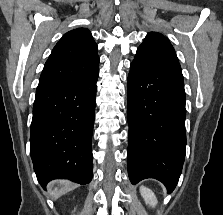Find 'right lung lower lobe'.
I'll list each match as a JSON object with an SVG mask.
<instances>
[{
    "label": "right lung lower lobe",
    "instance_id": "98d812e1",
    "mask_svg": "<svg viewBox=\"0 0 223 215\" xmlns=\"http://www.w3.org/2000/svg\"><path fill=\"white\" fill-rule=\"evenodd\" d=\"M98 69L76 82L38 92L33 105L30 153L39 183L92 180L91 139Z\"/></svg>",
    "mask_w": 223,
    "mask_h": 215
}]
</instances>
